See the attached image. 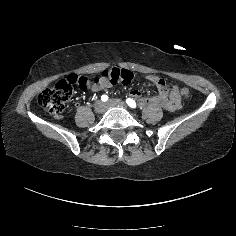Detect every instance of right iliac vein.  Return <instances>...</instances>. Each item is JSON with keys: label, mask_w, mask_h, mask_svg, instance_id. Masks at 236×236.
I'll use <instances>...</instances> for the list:
<instances>
[{"label": "right iliac vein", "mask_w": 236, "mask_h": 236, "mask_svg": "<svg viewBox=\"0 0 236 236\" xmlns=\"http://www.w3.org/2000/svg\"><path fill=\"white\" fill-rule=\"evenodd\" d=\"M105 110V105L102 101H98L96 104H95V112L97 113H102L104 112Z\"/></svg>", "instance_id": "63e3f726"}]
</instances>
